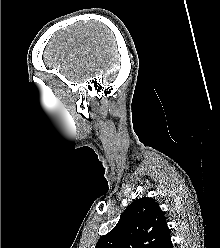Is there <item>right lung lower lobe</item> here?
I'll use <instances>...</instances> for the list:
<instances>
[{"label":"right lung lower lobe","mask_w":220,"mask_h":248,"mask_svg":"<svg viewBox=\"0 0 220 248\" xmlns=\"http://www.w3.org/2000/svg\"><path fill=\"white\" fill-rule=\"evenodd\" d=\"M160 248H173L170 236L163 242V244L160 246Z\"/></svg>","instance_id":"1"}]
</instances>
